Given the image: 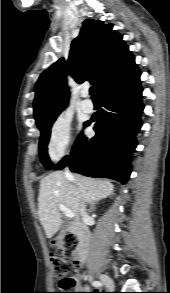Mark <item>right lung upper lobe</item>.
<instances>
[{
  "label": "right lung upper lobe",
  "mask_w": 170,
  "mask_h": 293,
  "mask_svg": "<svg viewBox=\"0 0 170 293\" xmlns=\"http://www.w3.org/2000/svg\"><path fill=\"white\" fill-rule=\"evenodd\" d=\"M100 20L87 19L71 44L68 61L64 58L46 69L35 86L34 118L38 128L53 122L67 106V72L78 83L90 80L98 92L136 67L135 59L122 35Z\"/></svg>",
  "instance_id": "cb5924a9"
}]
</instances>
